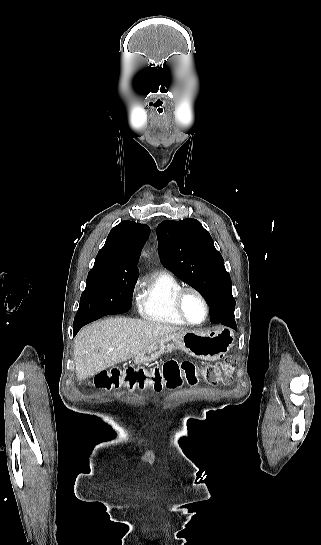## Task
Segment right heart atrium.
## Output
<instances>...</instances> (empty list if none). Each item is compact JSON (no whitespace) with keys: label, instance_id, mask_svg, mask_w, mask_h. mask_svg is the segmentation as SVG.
Listing matches in <instances>:
<instances>
[{"label":"right heart atrium","instance_id":"d8ad5b80","mask_svg":"<svg viewBox=\"0 0 321 545\" xmlns=\"http://www.w3.org/2000/svg\"><path fill=\"white\" fill-rule=\"evenodd\" d=\"M138 294H139V287L136 285V286L133 287L132 295H133V297L136 298L138 296Z\"/></svg>","mask_w":321,"mask_h":545}]
</instances>
